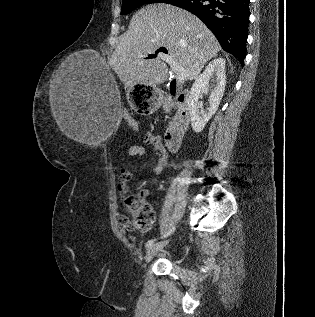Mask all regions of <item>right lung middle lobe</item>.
I'll return each instance as SVG.
<instances>
[{"instance_id": "obj_1", "label": "right lung middle lobe", "mask_w": 315, "mask_h": 317, "mask_svg": "<svg viewBox=\"0 0 315 317\" xmlns=\"http://www.w3.org/2000/svg\"><path fill=\"white\" fill-rule=\"evenodd\" d=\"M176 1L177 0H123L121 15L127 14L144 4L159 3V2L173 4Z\"/></svg>"}]
</instances>
